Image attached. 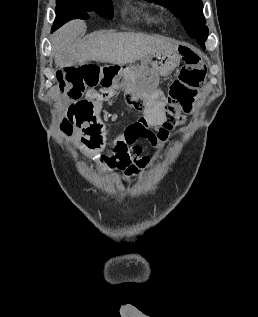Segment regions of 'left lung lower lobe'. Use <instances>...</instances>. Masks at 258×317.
<instances>
[{"mask_svg": "<svg viewBox=\"0 0 258 317\" xmlns=\"http://www.w3.org/2000/svg\"><path fill=\"white\" fill-rule=\"evenodd\" d=\"M197 40V42L202 46V48H205V41L207 39V37L202 38V37H197L195 38Z\"/></svg>", "mask_w": 258, "mask_h": 317, "instance_id": "1", "label": "left lung lower lobe"}]
</instances>
